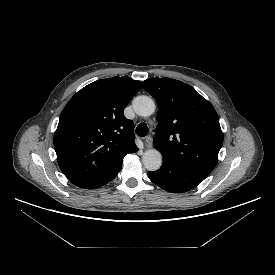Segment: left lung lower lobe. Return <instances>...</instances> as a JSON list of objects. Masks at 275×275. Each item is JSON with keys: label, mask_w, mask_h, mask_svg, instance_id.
Instances as JSON below:
<instances>
[{"label": "left lung lower lobe", "mask_w": 275, "mask_h": 275, "mask_svg": "<svg viewBox=\"0 0 275 275\" xmlns=\"http://www.w3.org/2000/svg\"><path fill=\"white\" fill-rule=\"evenodd\" d=\"M148 177L154 184L173 193L192 190L205 179V177L168 160H163L161 168L157 171H149Z\"/></svg>", "instance_id": "left-lung-lower-lobe-1"}]
</instances>
